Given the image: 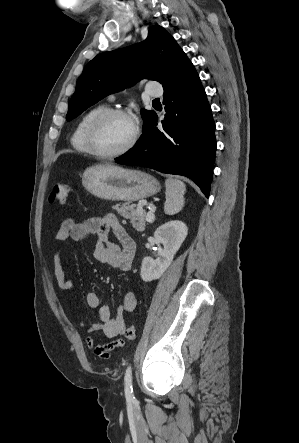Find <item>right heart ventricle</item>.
<instances>
[{
    "label": "right heart ventricle",
    "mask_w": 299,
    "mask_h": 443,
    "mask_svg": "<svg viewBox=\"0 0 299 443\" xmlns=\"http://www.w3.org/2000/svg\"><path fill=\"white\" fill-rule=\"evenodd\" d=\"M105 109H107L106 104L96 105L88 110L77 122L71 136V145L77 152L91 154L86 144V131L94 117Z\"/></svg>",
    "instance_id": "obj_1"
}]
</instances>
